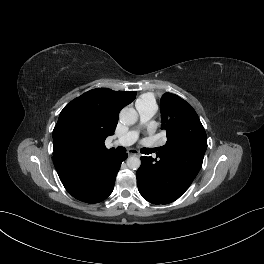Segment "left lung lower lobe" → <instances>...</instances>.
Returning <instances> with one entry per match:
<instances>
[{
  "label": "left lung lower lobe",
  "mask_w": 264,
  "mask_h": 264,
  "mask_svg": "<svg viewBox=\"0 0 264 264\" xmlns=\"http://www.w3.org/2000/svg\"><path fill=\"white\" fill-rule=\"evenodd\" d=\"M157 157L142 156L137 183L140 194L153 204H167L179 198L191 185L201 169L204 155L186 161V154L156 153Z\"/></svg>",
  "instance_id": "1"
}]
</instances>
